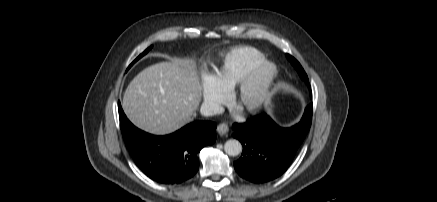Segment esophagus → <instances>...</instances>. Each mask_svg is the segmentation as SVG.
<instances>
[{
    "label": "esophagus",
    "instance_id": "34e87169",
    "mask_svg": "<svg viewBox=\"0 0 437 202\" xmlns=\"http://www.w3.org/2000/svg\"><path fill=\"white\" fill-rule=\"evenodd\" d=\"M229 131V127L226 123H220L217 126V132L219 133V135L224 136L228 133Z\"/></svg>",
    "mask_w": 437,
    "mask_h": 202
}]
</instances>
